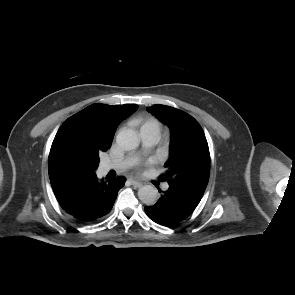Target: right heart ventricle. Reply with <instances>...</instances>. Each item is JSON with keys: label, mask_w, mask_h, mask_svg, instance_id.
I'll return each instance as SVG.
<instances>
[{"label": "right heart ventricle", "mask_w": 295, "mask_h": 295, "mask_svg": "<svg viewBox=\"0 0 295 295\" xmlns=\"http://www.w3.org/2000/svg\"><path fill=\"white\" fill-rule=\"evenodd\" d=\"M141 130L152 132L159 138L162 133V125L155 117L148 116L143 120L140 127V131Z\"/></svg>", "instance_id": "obj_1"}]
</instances>
